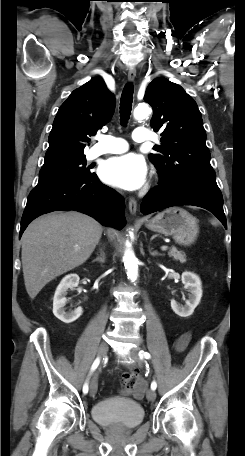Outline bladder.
<instances>
[{
    "label": "bladder",
    "instance_id": "bladder-1",
    "mask_svg": "<svg viewBox=\"0 0 245 456\" xmlns=\"http://www.w3.org/2000/svg\"><path fill=\"white\" fill-rule=\"evenodd\" d=\"M92 419L105 427L134 429L144 420V410L137 402L125 398H108L91 408Z\"/></svg>",
    "mask_w": 245,
    "mask_h": 456
}]
</instances>
